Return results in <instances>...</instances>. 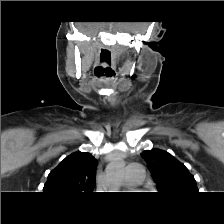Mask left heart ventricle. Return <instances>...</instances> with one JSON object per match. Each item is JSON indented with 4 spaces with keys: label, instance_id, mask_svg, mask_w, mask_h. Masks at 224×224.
<instances>
[{
    "label": "left heart ventricle",
    "instance_id": "obj_1",
    "mask_svg": "<svg viewBox=\"0 0 224 224\" xmlns=\"http://www.w3.org/2000/svg\"><path fill=\"white\" fill-rule=\"evenodd\" d=\"M123 187H129V186H126V185H125V181L123 182Z\"/></svg>",
    "mask_w": 224,
    "mask_h": 224
}]
</instances>
